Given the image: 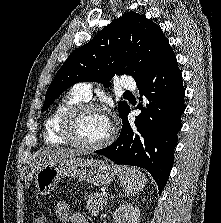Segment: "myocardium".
I'll return each instance as SVG.
<instances>
[{
    "instance_id": "obj_1",
    "label": "myocardium",
    "mask_w": 221,
    "mask_h": 223,
    "mask_svg": "<svg viewBox=\"0 0 221 223\" xmlns=\"http://www.w3.org/2000/svg\"><path fill=\"white\" fill-rule=\"evenodd\" d=\"M99 111L103 114H105L104 110L101 108V106L89 103V102H83L74 105L70 109L66 111V113L63 116L61 126H60V135L61 137L70 145H72L74 148L79 149L81 151H97L102 148H105L109 146L116 137V129L114 125L110 122V133L108 136L103 139L102 141L96 143V144H85L80 141H78L74 136V128L75 125L79 119V117L87 112V111Z\"/></svg>"
}]
</instances>
